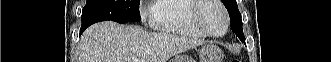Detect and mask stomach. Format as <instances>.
Wrapping results in <instances>:
<instances>
[{
    "instance_id": "1",
    "label": "stomach",
    "mask_w": 331,
    "mask_h": 62,
    "mask_svg": "<svg viewBox=\"0 0 331 62\" xmlns=\"http://www.w3.org/2000/svg\"><path fill=\"white\" fill-rule=\"evenodd\" d=\"M200 62H222L224 54L222 50L215 45H204L199 51ZM169 62H195L187 56L178 55Z\"/></svg>"
}]
</instances>
